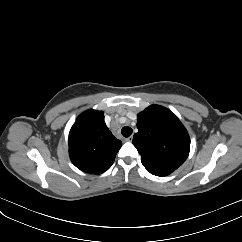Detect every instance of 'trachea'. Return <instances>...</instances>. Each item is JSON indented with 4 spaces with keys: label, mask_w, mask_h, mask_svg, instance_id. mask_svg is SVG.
<instances>
[{
    "label": "trachea",
    "mask_w": 242,
    "mask_h": 242,
    "mask_svg": "<svg viewBox=\"0 0 242 242\" xmlns=\"http://www.w3.org/2000/svg\"><path fill=\"white\" fill-rule=\"evenodd\" d=\"M132 128L128 126H124L121 130V133L124 137H129L132 134Z\"/></svg>",
    "instance_id": "3493384b"
}]
</instances>
